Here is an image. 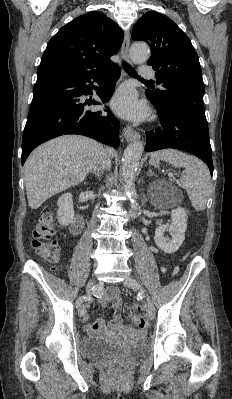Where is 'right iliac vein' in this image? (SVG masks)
<instances>
[{"label":"right iliac vein","instance_id":"right-iliac-vein-1","mask_svg":"<svg viewBox=\"0 0 232 399\" xmlns=\"http://www.w3.org/2000/svg\"><path fill=\"white\" fill-rule=\"evenodd\" d=\"M93 284H94V281H93V280H90L89 283H88V285H87V287H86V290H87V294H88V295H91V294H92L91 288H92ZM86 309H87V306H86V305H83L82 308H78V316H79L80 319H83V318H84V316H85V310H86Z\"/></svg>","mask_w":232,"mask_h":399}]
</instances>
